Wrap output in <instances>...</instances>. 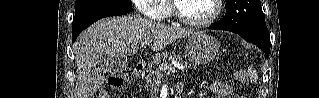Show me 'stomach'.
<instances>
[{
    "label": "stomach",
    "instance_id": "obj_1",
    "mask_svg": "<svg viewBox=\"0 0 319 98\" xmlns=\"http://www.w3.org/2000/svg\"><path fill=\"white\" fill-rule=\"evenodd\" d=\"M219 47L215 38L198 32L190 35L185 47V56L196 65L207 64L214 59Z\"/></svg>",
    "mask_w": 319,
    "mask_h": 98
}]
</instances>
